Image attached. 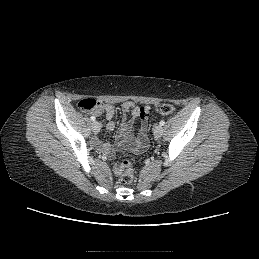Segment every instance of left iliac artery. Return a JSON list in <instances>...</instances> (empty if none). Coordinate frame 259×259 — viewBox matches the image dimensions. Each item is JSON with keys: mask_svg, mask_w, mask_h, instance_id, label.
Segmentation results:
<instances>
[{"mask_svg": "<svg viewBox=\"0 0 259 259\" xmlns=\"http://www.w3.org/2000/svg\"><path fill=\"white\" fill-rule=\"evenodd\" d=\"M159 124H160V126H163L165 124V121L161 120Z\"/></svg>", "mask_w": 259, "mask_h": 259, "instance_id": "44dca946", "label": "left iliac artery"}]
</instances>
